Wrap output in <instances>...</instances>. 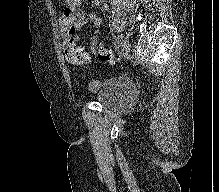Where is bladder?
Wrapping results in <instances>:
<instances>
[{"instance_id":"obj_1","label":"bladder","mask_w":219,"mask_h":192,"mask_svg":"<svg viewBox=\"0 0 219 192\" xmlns=\"http://www.w3.org/2000/svg\"><path fill=\"white\" fill-rule=\"evenodd\" d=\"M96 101L111 111L126 109L137 97L135 83L127 79H113L97 86Z\"/></svg>"}]
</instances>
